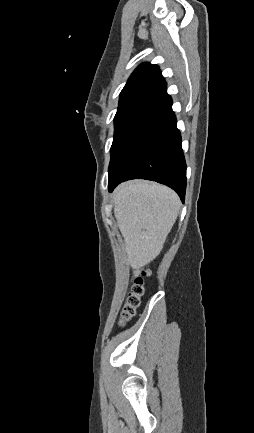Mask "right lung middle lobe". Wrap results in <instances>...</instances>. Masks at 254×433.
Returning <instances> with one entry per match:
<instances>
[{
    "mask_svg": "<svg viewBox=\"0 0 254 433\" xmlns=\"http://www.w3.org/2000/svg\"><path fill=\"white\" fill-rule=\"evenodd\" d=\"M141 104H123V105H119L117 113L115 115L114 118V123H115V134H114V139H113V143L111 146V154L114 152V150L116 149L119 140L121 138L123 129L126 125V123L128 122V120L130 119V117L141 107Z\"/></svg>",
    "mask_w": 254,
    "mask_h": 433,
    "instance_id": "obj_1",
    "label": "right lung middle lobe"
}]
</instances>
